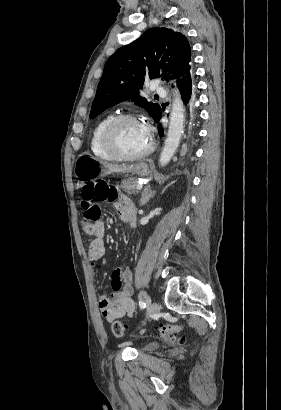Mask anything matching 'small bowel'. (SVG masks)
<instances>
[{
  "mask_svg": "<svg viewBox=\"0 0 281 410\" xmlns=\"http://www.w3.org/2000/svg\"><path fill=\"white\" fill-rule=\"evenodd\" d=\"M119 211L121 220L130 225L136 226V207L129 198L118 195L114 201ZM95 239L91 241L88 250V258L92 267H99V260L105 255L106 248L103 238L106 235V226L104 221L96 223ZM111 287L113 293L111 296L100 294L99 307L108 321H112L125 316H133L135 304L131 298L132 294V273L129 268L118 267L114 269L111 275Z\"/></svg>",
  "mask_w": 281,
  "mask_h": 410,
  "instance_id": "obj_1",
  "label": "small bowel"
}]
</instances>
